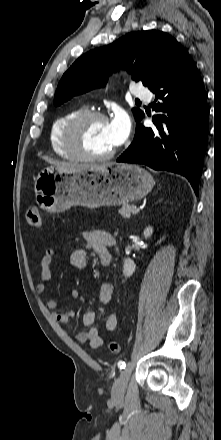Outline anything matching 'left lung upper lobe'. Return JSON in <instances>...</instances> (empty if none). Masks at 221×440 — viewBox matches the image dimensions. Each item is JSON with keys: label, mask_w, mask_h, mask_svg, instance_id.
<instances>
[{"label": "left lung upper lobe", "mask_w": 221, "mask_h": 440, "mask_svg": "<svg viewBox=\"0 0 221 440\" xmlns=\"http://www.w3.org/2000/svg\"><path fill=\"white\" fill-rule=\"evenodd\" d=\"M183 48L170 35L161 31L128 33L114 43L91 50L79 57L62 76L55 92L54 104L61 105L73 96L105 86L108 76L128 64L132 79L151 85L169 68ZM136 62L133 66L130 61ZM137 122L143 112L134 108Z\"/></svg>", "instance_id": "left-lung-upper-lobe-1"}]
</instances>
